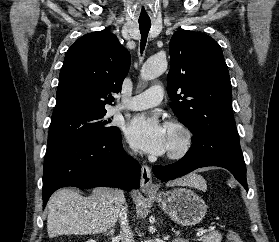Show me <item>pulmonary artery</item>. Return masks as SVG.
Segmentation results:
<instances>
[{
    "instance_id": "obj_1",
    "label": "pulmonary artery",
    "mask_w": 279,
    "mask_h": 242,
    "mask_svg": "<svg viewBox=\"0 0 279 242\" xmlns=\"http://www.w3.org/2000/svg\"><path fill=\"white\" fill-rule=\"evenodd\" d=\"M163 99V89L161 86H152L147 91L132 97L125 104L117 106L116 110H142L157 106Z\"/></svg>"
}]
</instances>
